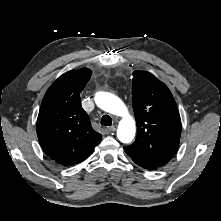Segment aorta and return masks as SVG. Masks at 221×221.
<instances>
[{
	"label": "aorta",
	"mask_w": 221,
	"mask_h": 221,
	"mask_svg": "<svg viewBox=\"0 0 221 221\" xmlns=\"http://www.w3.org/2000/svg\"><path fill=\"white\" fill-rule=\"evenodd\" d=\"M95 103L102 110L122 118L118 125L117 137L122 143H130L135 136L136 124L122 100L111 93L98 92L95 95Z\"/></svg>",
	"instance_id": "obj_1"
}]
</instances>
